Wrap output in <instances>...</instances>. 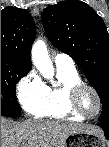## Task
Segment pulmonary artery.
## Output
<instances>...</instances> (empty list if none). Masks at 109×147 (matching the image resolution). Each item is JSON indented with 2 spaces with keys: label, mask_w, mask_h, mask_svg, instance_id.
<instances>
[{
  "label": "pulmonary artery",
  "mask_w": 109,
  "mask_h": 147,
  "mask_svg": "<svg viewBox=\"0 0 109 147\" xmlns=\"http://www.w3.org/2000/svg\"><path fill=\"white\" fill-rule=\"evenodd\" d=\"M55 66L59 68H74L73 59L65 53H57L54 57Z\"/></svg>",
  "instance_id": "obj_1"
}]
</instances>
